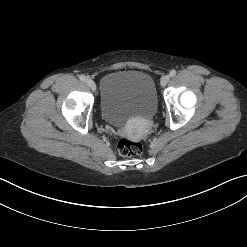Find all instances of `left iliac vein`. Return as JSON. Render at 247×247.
<instances>
[{
  "label": "left iliac vein",
  "instance_id": "1",
  "mask_svg": "<svg viewBox=\"0 0 247 247\" xmlns=\"http://www.w3.org/2000/svg\"><path fill=\"white\" fill-rule=\"evenodd\" d=\"M169 80H170V76L168 74L164 75L161 78V86L167 85V83L169 82Z\"/></svg>",
  "mask_w": 247,
  "mask_h": 247
}]
</instances>
